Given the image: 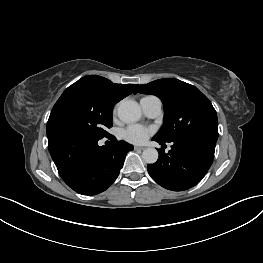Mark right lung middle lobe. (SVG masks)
Listing matches in <instances>:
<instances>
[{
    "label": "right lung middle lobe",
    "mask_w": 263,
    "mask_h": 263,
    "mask_svg": "<svg viewBox=\"0 0 263 263\" xmlns=\"http://www.w3.org/2000/svg\"><path fill=\"white\" fill-rule=\"evenodd\" d=\"M114 104L84 90L64 91L47 122L48 141L65 136L108 137Z\"/></svg>",
    "instance_id": "obj_1"
}]
</instances>
